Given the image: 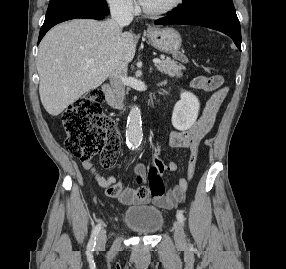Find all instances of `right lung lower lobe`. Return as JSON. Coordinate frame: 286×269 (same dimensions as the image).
Segmentation results:
<instances>
[{
	"mask_svg": "<svg viewBox=\"0 0 286 269\" xmlns=\"http://www.w3.org/2000/svg\"><path fill=\"white\" fill-rule=\"evenodd\" d=\"M105 15L106 14L92 12V11H73L70 13H66V14L45 20L43 26L41 27L40 33H39L38 43L41 41V39L46 34V32L58 23H61V22H64L70 19H75V18H89V19L101 20L104 18Z\"/></svg>",
	"mask_w": 286,
	"mask_h": 269,
	"instance_id": "obj_1",
	"label": "right lung lower lobe"
}]
</instances>
